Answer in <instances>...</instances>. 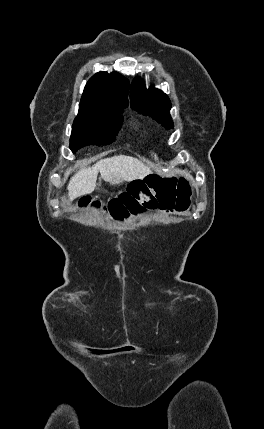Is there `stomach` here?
Wrapping results in <instances>:
<instances>
[{"mask_svg": "<svg viewBox=\"0 0 264 429\" xmlns=\"http://www.w3.org/2000/svg\"><path fill=\"white\" fill-rule=\"evenodd\" d=\"M154 176H156V175H154V174H148V175H147V176H145L144 178H146V179H151V178H153ZM120 182H122V181H120V180H118V179H115V180H112L110 183H111V184L116 185V184H119Z\"/></svg>", "mask_w": 264, "mask_h": 429, "instance_id": "1", "label": "stomach"}]
</instances>
